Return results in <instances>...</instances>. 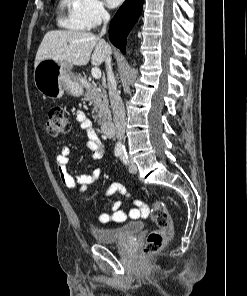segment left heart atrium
Returning <instances> with one entry per match:
<instances>
[{
	"mask_svg": "<svg viewBox=\"0 0 247 296\" xmlns=\"http://www.w3.org/2000/svg\"><path fill=\"white\" fill-rule=\"evenodd\" d=\"M123 0H107V4L110 6V7H117L118 5L121 4Z\"/></svg>",
	"mask_w": 247,
	"mask_h": 296,
	"instance_id": "39dd6f15",
	"label": "left heart atrium"
}]
</instances>
